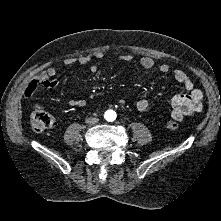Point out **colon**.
I'll list each match as a JSON object with an SVG mask.
<instances>
[{"label":"colon","mask_w":221,"mask_h":221,"mask_svg":"<svg viewBox=\"0 0 221 221\" xmlns=\"http://www.w3.org/2000/svg\"><path fill=\"white\" fill-rule=\"evenodd\" d=\"M185 110H182L177 118L167 122V128L170 131H177L180 128L179 121L184 117ZM54 124V118L46 112L42 107H37L31 114V125L36 132H42Z\"/></svg>","instance_id":"5ec220e1"}]
</instances>
